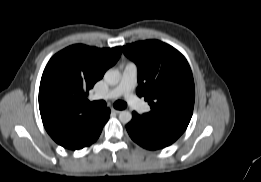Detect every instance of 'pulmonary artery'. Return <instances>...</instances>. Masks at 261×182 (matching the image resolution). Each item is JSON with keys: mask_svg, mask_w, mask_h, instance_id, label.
Here are the masks:
<instances>
[{"mask_svg": "<svg viewBox=\"0 0 261 182\" xmlns=\"http://www.w3.org/2000/svg\"><path fill=\"white\" fill-rule=\"evenodd\" d=\"M137 76V66L133 62H129L125 64L122 68L121 78L119 83L109 89L104 94H95L92 96L94 100H112L117 99L119 97H124L128 104L136 108L138 111L142 113H147L150 108L149 106L136 98L132 91L136 83Z\"/></svg>", "mask_w": 261, "mask_h": 182, "instance_id": "pulmonary-artery-1", "label": "pulmonary artery"}]
</instances>
